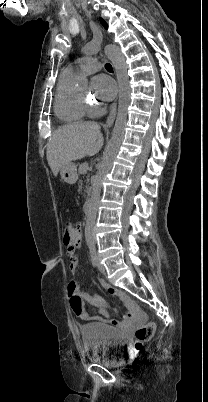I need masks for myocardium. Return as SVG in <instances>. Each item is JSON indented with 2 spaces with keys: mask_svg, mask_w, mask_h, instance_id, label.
I'll return each mask as SVG.
<instances>
[{
  "mask_svg": "<svg viewBox=\"0 0 208 402\" xmlns=\"http://www.w3.org/2000/svg\"><path fill=\"white\" fill-rule=\"evenodd\" d=\"M79 97L82 103L85 105L89 104L92 101L89 97L86 96V94L83 93H79Z\"/></svg>",
  "mask_w": 208,
  "mask_h": 402,
  "instance_id": "1",
  "label": "myocardium"
}]
</instances>
